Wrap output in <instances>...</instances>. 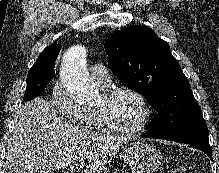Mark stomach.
I'll return each mask as SVG.
<instances>
[{
	"label": "stomach",
	"mask_w": 219,
	"mask_h": 173,
	"mask_svg": "<svg viewBox=\"0 0 219 173\" xmlns=\"http://www.w3.org/2000/svg\"><path fill=\"white\" fill-rule=\"evenodd\" d=\"M130 173H153L163 160L161 152L145 142H133L121 154Z\"/></svg>",
	"instance_id": "obj_1"
}]
</instances>
